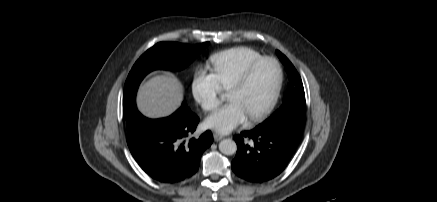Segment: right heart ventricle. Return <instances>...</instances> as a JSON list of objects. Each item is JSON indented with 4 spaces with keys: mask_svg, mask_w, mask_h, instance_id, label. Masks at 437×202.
<instances>
[{
    "mask_svg": "<svg viewBox=\"0 0 437 202\" xmlns=\"http://www.w3.org/2000/svg\"><path fill=\"white\" fill-rule=\"evenodd\" d=\"M262 55L249 47H233L213 54L210 65L223 89H229L245 68Z\"/></svg>",
    "mask_w": 437,
    "mask_h": 202,
    "instance_id": "obj_1",
    "label": "right heart ventricle"
}]
</instances>
